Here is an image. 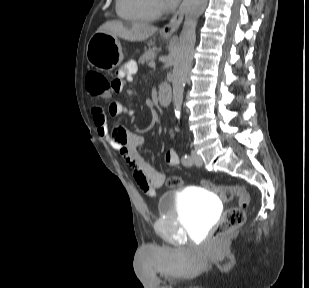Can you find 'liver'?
<instances>
[{
	"label": "liver",
	"instance_id": "liver-1",
	"mask_svg": "<svg viewBox=\"0 0 309 288\" xmlns=\"http://www.w3.org/2000/svg\"><path fill=\"white\" fill-rule=\"evenodd\" d=\"M157 30V27L146 23L125 24L122 21L113 20L101 25L97 32L109 33L112 36L135 42L148 39Z\"/></svg>",
	"mask_w": 309,
	"mask_h": 288
}]
</instances>
